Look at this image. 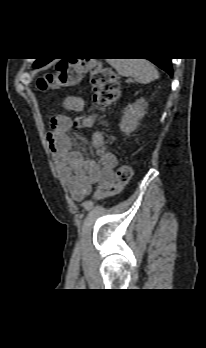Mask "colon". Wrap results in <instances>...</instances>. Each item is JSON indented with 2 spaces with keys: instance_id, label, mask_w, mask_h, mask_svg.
Wrapping results in <instances>:
<instances>
[{
  "instance_id": "1",
  "label": "colon",
  "mask_w": 206,
  "mask_h": 348,
  "mask_svg": "<svg viewBox=\"0 0 206 348\" xmlns=\"http://www.w3.org/2000/svg\"><path fill=\"white\" fill-rule=\"evenodd\" d=\"M85 74L90 76L95 107L108 106L118 99L120 86L115 72L92 57L60 60L54 72L42 75L37 85L41 91L62 89L79 82ZM80 122L81 118H77L74 124L78 125ZM110 141L113 142L114 138L110 137ZM131 173L128 165L121 164L116 169L115 183L100 186L95 197L101 199L118 194L128 184Z\"/></svg>"
}]
</instances>
